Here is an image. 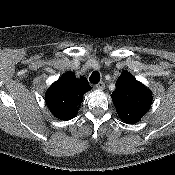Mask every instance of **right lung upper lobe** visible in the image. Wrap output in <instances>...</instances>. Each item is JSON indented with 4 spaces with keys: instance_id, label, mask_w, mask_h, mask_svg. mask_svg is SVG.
I'll return each mask as SVG.
<instances>
[{
    "instance_id": "obj_1",
    "label": "right lung upper lobe",
    "mask_w": 175,
    "mask_h": 175,
    "mask_svg": "<svg viewBox=\"0 0 175 175\" xmlns=\"http://www.w3.org/2000/svg\"><path fill=\"white\" fill-rule=\"evenodd\" d=\"M91 89L87 79L77 78L74 72L63 74L45 94L50 111L61 120L74 118L83 102V95Z\"/></svg>"
}]
</instances>
